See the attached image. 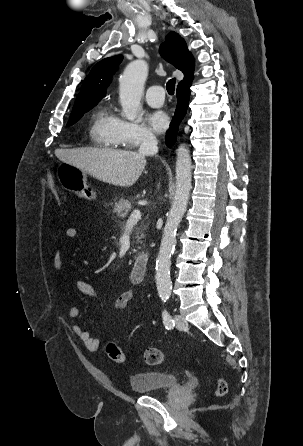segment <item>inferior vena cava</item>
<instances>
[{
  "label": "inferior vena cava",
  "mask_w": 303,
  "mask_h": 446,
  "mask_svg": "<svg viewBox=\"0 0 303 446\" xmlns=\"http://www.w3.org/2000/svg\"><path fill=\"white\" fill-rule=\"evenodd\" d=\"M158 152L157 139L152 134H147L144 136L142 143L139 148L140 155H156Z\"/></svg>",
  "instance_id": "inferior-vena-cava-1"
}]
</instances>
